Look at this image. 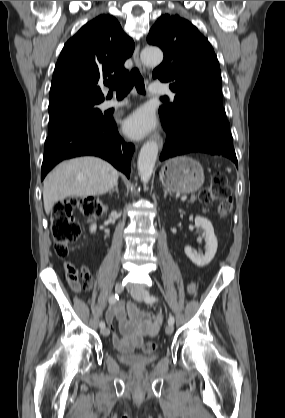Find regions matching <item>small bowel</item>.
<instances>
[{"label": "small bowel", "instance_id": "obj_1", "mask_svg": "<svg viewBox=\"0 0 285 418\" xmlns=\"http://www.w3.org/2000/svg\"><path fill=\"white\" fill-rule=\"evenodd\" d=\"M65 275L67 282L75 290H78L79 285L84 288H90L92 285V276L87 265H83L79 271L76 265L67 264ZM195 290L194 282L187 285L188 294H194ZM126 313L127 315L121 304H116L108 311V321L112 323L116 319L126 336L125 339H122L118 334L113 333V344L118 350L129 351L140 348L143 337H154L159 333L163 321L161 313L147 314L139 310L133 303L126 305Z\"/></svg>", "mask_w": 285, "mask_h": 418}]
</instances>
